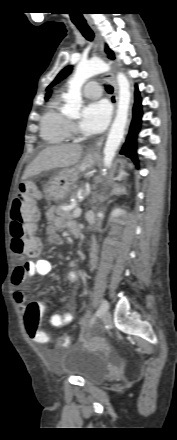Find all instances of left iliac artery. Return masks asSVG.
Segmentation results:
<instances>
[{
	"mask_svg": "<svg viewBox=\"0 0 177 440\" xmlns=\"http://www.w3.org/2000/svg\"><path fill=\"white\" fill-rule=\"evenodd\" d=\"M108 308V302L106 300H103L99 309L97 310V312L95 313V315L91 318L90 321V326L93 325V323L95 322V319L97 316L102 315Z\"/></svg>",
	"mask_w": 177,
	"mask_h": 440,
	"instance_id": "left-iliac-artery-1",
	"label": "left iliac artery"
}]
</instances>
